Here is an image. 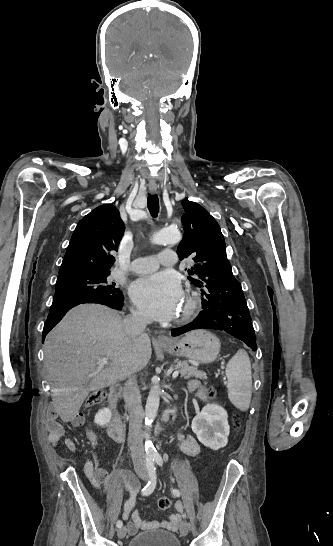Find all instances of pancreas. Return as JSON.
I'll return each instance as SVG.
<instances>
[{"label": "pancreas", "mask_w": 333, "mask_h": 546, "mask_svg": "<svg viewBox=\"0 0 333 546\" xmlns=\"http://www.w3.org/2000/svg\"><path fill=\"white\" fill-rule=\"evenodd\" d=\"M172 367L178 370L181 374V377L185 379H189L190 377H195L202 380L207 379L205 372L198 370L194 366H190L187 362H175Z\"/></svg>", "instance_id": "cf45deb5"}]
</instances>
